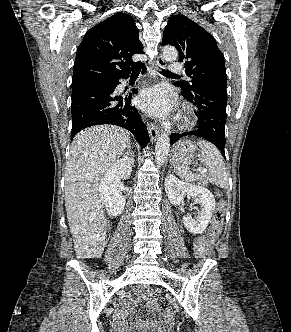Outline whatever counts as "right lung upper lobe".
<instances>
[{"label": "right lung upper lobe", "instance_id": "cb5924a9", "mask_svg": "<svg viewBox=\"0 0 291 332\" xmlns=\"http://www.w3.org/2000/svg\"><path fill=\"white\" fill-rule=\"evenodd\" d=\"M134 54H144L132 16L116 13L91 28L77 49L72 86L98 78L117 80L142 65Z\"/></svg>", "mask_w": 291, "mask_h": 332}]
</instances>
